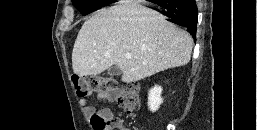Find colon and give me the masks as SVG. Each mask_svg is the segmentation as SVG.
Instances as JSON below:
<instances>
[{"mask_svg": "<svg viewBox=\"0 0 257 130\" xmlns=\"http://www.w3.org/2000/svg\"><path fill=\"white\" fill-rule=\"evenodd\" d=\"M72 81L81 98L94 92L115 99L127 116L135 115L140 109V88L136 82L126 83L118 89L116 81L111 77L74 75ZM91 124L94 130H131L124 127L120 118L101 113L91 116Z\"/></svg>", "mask_w": 257, "mask_h": 130, "instance_id": "5ec220e1", "label": "colon"}]
</instances>
